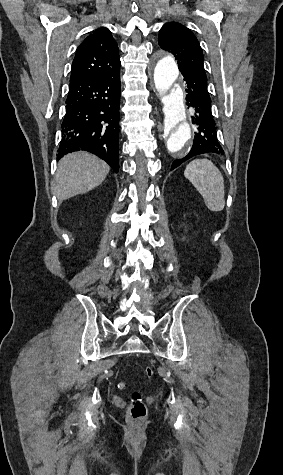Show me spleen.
<instances>
[{
    "instance_id": "spleen-1",
    "label": "spleen",
    "mask_w": 283,
    "mask_h": 475,
    "mask_svg": "<svg viewBox=\"0 0 283 475\" xmlns=\"http://www.w3.org/2000/svg\"><path fill=\"white\" fill-rule=\"evenodd\" d=\"M184 176L201 194L208 210H224V178L211 160H193L186 166Z\"/></svg>"
}]
</instances>
